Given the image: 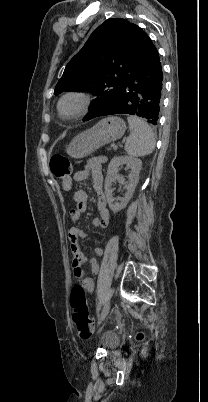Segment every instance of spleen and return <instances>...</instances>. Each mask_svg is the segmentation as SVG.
<instances>
[{"instance_id": "3e777b00", "label": "spleen", "mask_w": 208, "mask_h": 402, "mask_svg": "<svg viewBox=\"0 0 208 402\" xmlns=\"http://www.w3.org/2000/svg\"><path fill=\"white\" fill-rule=\"evenodd\" d=\"M131 134L126 140L125 150L129 156H148L155 148V138L152 128L146 124L145 120L129 116L127 118Z\"/></svg>"}]
</instances>
